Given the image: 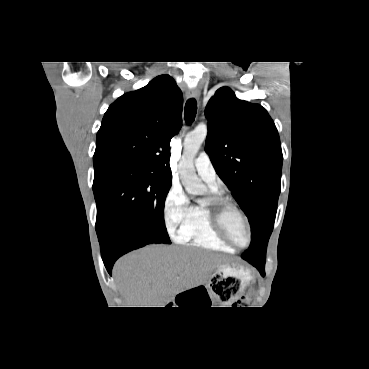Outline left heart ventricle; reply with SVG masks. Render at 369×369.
<instances>
[{"instance_id": "left-heart-ventricle-1", "label": "left heart ventricle", "mask_w": 369, "mask_h": 369, "mask_svg": "<svg viewBox=\"0 0 369 369\" xmlns=\"http://www.w3.org/2000/svg\"><path fill=\"white\" fill-rule=\"evenodd\" d=\"M226 228L231 238L238 245H245L247 242V231L241 217L233 210L228 211L225 217Z\"/></svg>"}]
</instances>
